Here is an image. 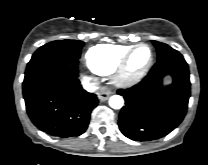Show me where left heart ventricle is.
<instances>
[{"mask_svg": "<svg viewBox=\"0 0 208 165\" xmlns=\"http://www.w3.org/2000/svg\"><path fill=\"white\" fill-rule=\"evenodd\" d=\"M150 52L147 48L139 49L133 56L131 61V68L139 70L144 67L149 60Z\"/></svg>", "mask_w": 208, "mask_h": 165, "instance_id": "obj_1", "label": "left heart ventricle"}]
</instances>
